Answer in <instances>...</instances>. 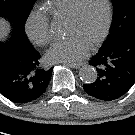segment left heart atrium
<instances>
[{
	"instance_id": "1",
	"label": "left heart atrium",
	"mask_w": 135,
	"mask_h": 135,
	"mask_svg": "<svg viewBox=\"0 0 135 135\" xmlns=\"http://www.w3.org/2000/svg\"><path fill=\"white\" fill-rule=\"evenodd\" d=\"M89 44L77 35L55 42L46 52V59L52 63L76 62L87 54Z\"/></svg>"
}]
</instances>
